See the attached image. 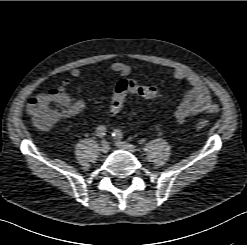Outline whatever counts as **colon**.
<instances>
[{
	"instance_id": "1",
	"label": "colon",
	"mask_w": 247,
	"mask_h": 245,
	"mask_svg": "<svg viewBox=\"0 0 247 245\" xmlns=\"http://www.w3.org/2000/svg\"><path fill=\"white\" fill-rule=\"evenodd\" d=\"M133 94L144 99H156L160 95L157 87L140 84L133 79H121L115 86L109 105V113L116 116L127 96ZM65 100L58 95L42 94L32 98L27 107L29 116L34 125L42 130L50 129L58 120L61 119L65 109ZM207 126L204 119L198 120L196 128L201 130Z\"/></svg>"
}]
</instances>
